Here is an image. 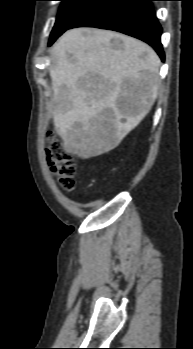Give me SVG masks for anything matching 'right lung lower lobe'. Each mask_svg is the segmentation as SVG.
Here are the masks:
<instances>
[{
  "mask_svg": "<svg viewBox=\"0 0 193 349\" xmlns=\"http://www.w3.org/2000/svg\"><path fill=\"white\" fill-rule=\"evenodd\" d=\"M151 1L155 0H101L68 29L88 26L122 32L147 42L164 60L162 28Z\"/></svg>",
  "mask_w": 193,
  "mask_h": 349,
  "instance_id": "right-lung-lower-lobe-1",
  "label": "right lung lower lobe"
}]
</instances>
